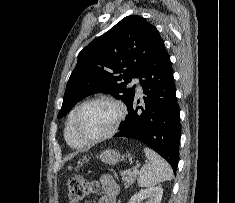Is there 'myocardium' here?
Returning a JSON list of instances; mask_svg holds the SVG:
<instances>
[{
    "instance_id": "obj_1",
    "label": "myocardium",
    "mask_w": 235,
    "mask_h": 203,
    "mask_svg": "<svg viewBox=\"0 0 235 203\" xmlns=\"http://www.w3.org/2000/svg\"><path fill=\"white\" fill-rule=\"evenodd\" d=\"M100 101H104V102H109L113 105L116 106L117 110H118V115L116 118V121L114 123V125L112 126V128L105 134L96 137V138H87L85 136H83L80 131L78 130V118L79 115L81 113V111L89 104L94 103V102H100ZM127 114V109L126 106L124 105V103L114 97L111 96H96L93 98H90L86 101H84L83 103H81L75 110L74 115H73V119H72V130L73 133L75 134V136L84 144H95V143H99L102 142L106 139H109L110 137H112L113 135H115L120 126L122 125L125 117Z\"/></svg>"
}]
</instances>
